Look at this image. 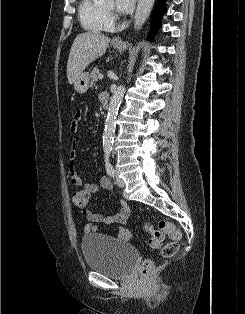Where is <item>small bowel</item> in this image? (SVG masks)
Listing matches in <instances>:
<instances>
[{
    "instance_id": "obj_1",
    "label": "small bowel",
    "mask_w": 245,
    "mask_h": 314,
    "mask_svg": "<svg viewBox=\"0 0 245 314\" xmlns=\"http://www.w3.org/2000/svg\"><path fill=\"white\" fill-rule=\"evenodd\" d=\"M82 118V113L77 111L74 114V117L70 123V131L72 133H76L78 131L79 122ZM77 150H76V142H73L72 150L70 152L69 157V176L70 183L73 186L82 187L83 190L88 192L89 195L95 194L99 191V188L110 191L113 189L112 181L104 176L101 177L99 183H84L82 178L80 177L78 170L76 168L77 163ZM121 208L120 210L113 215L103 216L99 213H94L88 210H85L84 216L88 220V223L84 226L85 233H92L98 230L96 226L97 223H104L107 225L116 224L117 227L115 229V237L123 242H128L132 239L133 235L130 230L124 227L129 215L130 208L124 200H120Z\"/></svg>"
}]
</instances>
